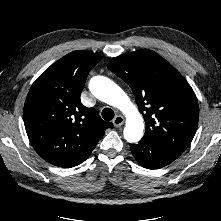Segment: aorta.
<instances>
[{
	"label": "aorta",
	"instance_id": "aorta-1",
	"mask_svg": "<svg viewBox=\"0 0 221 221\" xmlns=\"http://www.w3.org/2000/svg\"><path fill=\"white\" fill-rule=\"evenodd\" d=\"M89 89L97 99L117 108L125 115L124 138L130 143L138 142L143 136L144 120L138 108L127 94L105 76L91 78Z\"/></svg>",
	"mask_w": 221,
	"mask_h": 221
}]
</instances>
